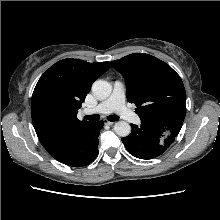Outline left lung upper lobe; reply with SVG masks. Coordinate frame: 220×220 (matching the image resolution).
Masks as SVG:
<instances>
[{"label": "left lung upper lobe", "mask_w": 220, "mask_h": 220, "mask_svg": "<svg viewBox=\"0 0 220 220\" xmlns=\"http://www.w3.org/2000/svg\"><path fill=\"white\" fill-rule=\"evenodd\" d=\"M111 65L125 78L126 96L141 122L158 121L178 135L186 114V92L180 76L148 54H130Z\"/></svg>", "instance_id": "left-lung-upper-lobe-1"}]
</instances>
